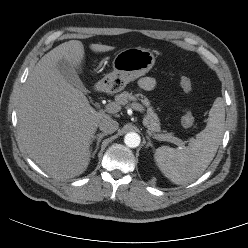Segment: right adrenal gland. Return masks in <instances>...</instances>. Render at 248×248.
Here are the masks:
<instances>
[{"label":"right adrenal gland","instance_id":"right-adrenal-gland-1","mask_svg":"<svg viewBox=\"0 0 248 248\" xmlns=\"http://www.w3.org/2000/svg\"><path fill=\"white\" fill-rule=\"evenodd\" d=\"M106 135L107 134H105V133H100V134H97V135H95V136L92 137V141H94L96 139L97 142H96V148L92 152V154L90 155V157H92V158L95 157V154L97 153V151L99 149V144H100L101 140L103 139V137L106 136ZM91 151H92V148H91Z\"/></svg>","mask_w":248,"mask_h":248}]
</instances>
